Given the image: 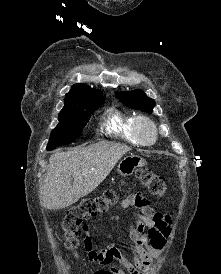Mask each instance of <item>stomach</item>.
I'll list each match as a JSON object with an SVG mask.
<instances>
[{"instance_id": "0dacf381", "label": "stomach", "mask_w": 221, "mask_h": 274, "mask_svg": "<svg viewBox=\"0 0 221 274\" xmlns=\"http://www.w3.org/2000/svg\"><path fill=\"white\" fill-rule=\"evenodd\" d=\"M145 165V160L140 156L130 154L124 157L118 164L117 171L120 175L126 177L132 175L138 168Z\"/></svg>"}]
</instances>
